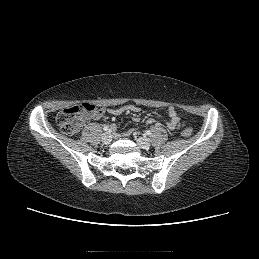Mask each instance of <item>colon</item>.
Returning <instances> with one entry per match:
<instances>
[{
    "label": "colon",
    "instance_id": "colon-1",
    "mask_svg": "<svg viewBox=\"0 0 259 259\" xmlns=\"http://www.w3.org/2000/svg\"><path fill=\"white\" fill-rule=\"evenodd\" d=\"M96 107L89 103L71 106L61 110L56 116V123L60 130L67 135L76 134L84 120L96 111ZM192 128L186 126L182 129V135L189 137L192 135Z\"/></svg>",
    "mask_w": 259,
    "mask_h": 259
}]
</instances>
